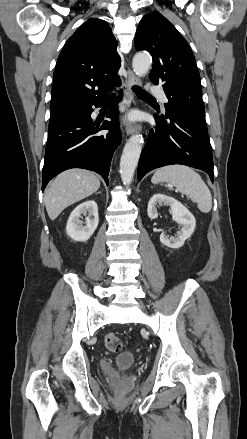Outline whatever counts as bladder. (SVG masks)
Masks as SVG:
<instances>
[{"label": "bladder", "mask_w": 247, "mask_h": 439, "mask_svg": "<svg viewBox=\"0 0 247 439\" xmlns=\"http://www.w3.org/2000/svg\"><path fill=\"white\" fill-rule=\"evenodd\" d=\"M116 364L121 369H127L130 368L135 364L136 357L134 353L130 351H125L116 356Z\"/></svg>", "instance_id": "31cf9c89"}]
</instances>
